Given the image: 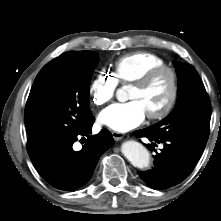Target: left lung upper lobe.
I'll return each instance as SVG.
<instances>
[{
	"mask_svg": "<svg viewBox=\"0 0 221 221\" xmlns=\"http://www.w3.org/2000/svg\"><path fill=\"white\" fill-rule=\"evenodd\" d=\"M178 100L173 111L150 126L156 137H175L206 145L209 136L211 104L205 87L189 64L176 62Z\"/></svg>",
	"mask_w": 221,
	"mask_h": 221,
	"instance_id": "left-lung-upper-lobe-1",
	"label": "left lung upper lobe"
}]
</instances>
